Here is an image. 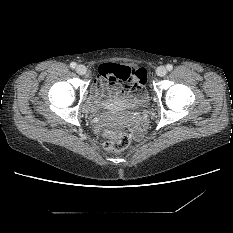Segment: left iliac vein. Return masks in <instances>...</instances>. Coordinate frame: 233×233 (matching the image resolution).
Returning <instances> with one entry per match:
<instances>
[{
  "label": "left iliac vein",
  "instance_id": "1",
  "mask_svg": "<svg viewBox=\"0 0 233 233\" xmlns=\"http://www.w3.org/2000/svg\"><path fill=\"white\" fill-rule=\"evenodd\" d=\"M166 73H167V70H166V68H165L164 66H159V67L157 68V70H156V74H157L158 76H160V77L165 76Z\"/></svg>",
  "mask_w": 233,
  "mask_h": 233
}]
</instances>
